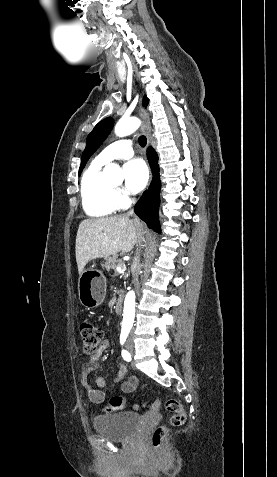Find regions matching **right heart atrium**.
Wrapping results in <instances>:
<instances>
[{"label":"right heart atrium","mask_w":277,"mask_h":477,"mask_svg":"<svg viewBox=\"0 0 277 477\" xmlns=\"http://www.w3.org/2000/svg\"><path fill=\"white\" fill-rule=\"evenodd\" d=\"M115 199L119 207H123L130 202L129 196L122 190L115 191Z\"/></svg>","instance_id":"obj_1"}]
</instances>
